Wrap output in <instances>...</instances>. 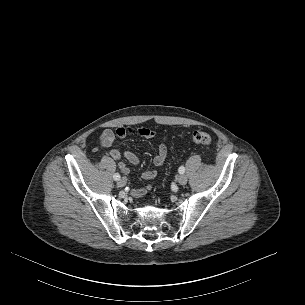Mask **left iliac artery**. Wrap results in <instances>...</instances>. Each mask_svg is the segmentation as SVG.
Returning <instances> with one entry per match:
<instances>
[{
    "instance_id": "obj_1",
    "label": "left iliac artery",
    "mask_w": 305,
    "mask_h": 305,
    "mask_svg": "<svg viewBox=\"0 0 305 305\" xmlns=\"http://www.w3.org/2000/svg\"><path fill=\"white\" fill-rule=\"evenodd\" d=\"M178 171H179L180 174H183L185 172L184 166H180Z\"/></svg>"
}]
</instances>
